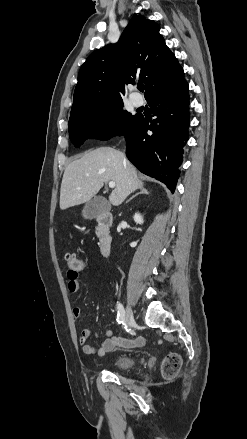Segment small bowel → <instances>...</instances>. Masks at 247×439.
I'll list each match as a JSON object with an SVG mask.
<instances>
[{
	"label": "small bowel",
	"instance_id": "1",
	"mask_svg": "<svg viewBox=\"0 0 247 439\" xmlns=\"http://www.w3.org/2000/svg\"><path fill=\"white\" fill-rule=\"evenodd\" d=\"M79 272H74L68 270V290L72 293L79 291L80 284L78 280ZM72 313L74 317L78 318L81 315V308L76 306L73 308ZM104 336L106 339L98 346H93L88 344V340L91 337H97V333L91 329L85 328L81 331L79 336V342L82 345L83 351L88 355L104 356L105 354L111 352L116 347H136L143 344L142 338L126 339L121 337L113 336L111 330H105Z\"/></svg>",
	"mask_w": 247,
	"mask_h": 439
}]
</instances>
